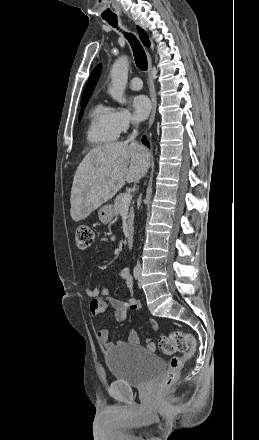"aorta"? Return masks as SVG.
Wrapping results in <instances>:
<instances>
[{
  "label": "aorta",
  "instance_id": "1",
  "mask_svg": "<svg viewBox=\"0 0 259 440\" xmlns=\"http://www.w3.org/2000/svg\"><path fill=\"white\" fill-rule=\"evenodd\" d=\"M129 62L125 56L119 57L113 63L110 75L111 86L109 87V94L120 104L126 103L124 98V91L128 80Z\"/></svg>",
  "mask_w": 259,
  "mask_h": 440
}]
</instances>
